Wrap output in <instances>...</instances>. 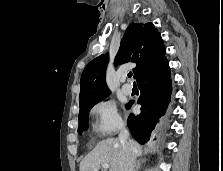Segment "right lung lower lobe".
<instances>
[{
	"instance_id": "98d812e1",
	"label": "right lung lower lobe",
	"mask_w": 223,
	"mask_h": 171,
	"mask_svg": "<svg viewBox=\"0 0 223 171\" xmlns=\"http://www.w3.org/2000/svg\"><path fill=\"white\" fill-rule=\"evenodd\" d=\"M137 84L141 92L138 99V104L142 105L141 113L130 114L127 125L132 136L140 144H145L170 102L172 87L167 59L139 78ZM132 105L133 101H130L126 107L129 109Z\"/></svg>"
}]
</instances>
